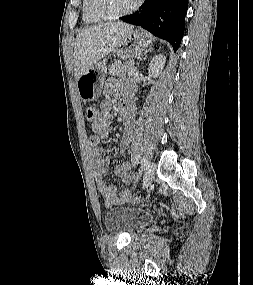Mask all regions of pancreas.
Returning <instances> with one entry per match:
<instances>
[{"instance_id": "1", "label": "pancreas", "mask_w": 253, "mask_h": 285, "mask_svg": "<svg viewBox=\"0 0 253 285\" xmlns=\"http://www.w3.org/2000/svg\"><path fill=\"white\" fill-rule=\"evenodd\" d=\"M134 62L129 61L126 63H115L108 69L109 75L124 77L128 71L133 67Z\"/></svg>"}]
</instances>
